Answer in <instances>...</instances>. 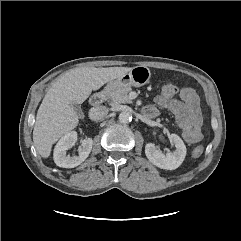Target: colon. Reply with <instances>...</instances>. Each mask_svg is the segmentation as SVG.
Instances as JSON below:
<instances>
[{
	"label": "colon",
	"mask_w": 241,
	"mask_h": 241,
	"mask_svg": "<svg viewBox=\"0 0 241 241\" xmlns=\"http://www.w3.org/2000/svg\"><path fill=\"white\" fill-rule=\"evenodd\" d=\"M177 91H178V89L174 84L167 83L162 86L160 95H162L166 99H170V98L174 97V95L177 93ZM203 152H204L203 147L198 146L194 149L193 156L195 158H198V157L202 156Z\"/></svg>",
	"instance_id": "colon-1"
}]
</instances>
